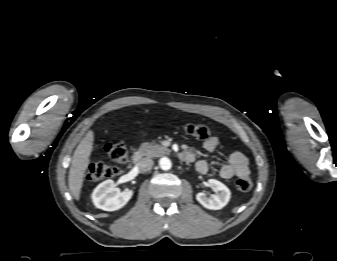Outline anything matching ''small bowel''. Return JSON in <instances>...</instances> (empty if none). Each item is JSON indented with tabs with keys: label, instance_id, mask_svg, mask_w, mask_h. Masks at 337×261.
Instances as JSON below:
<instances>
[{
	"label": "small bowel",
	"instance_id": "c3829d8e",
	"mask_svg": "<svg viewBox=\"0 0 337 261\" xmlns=\"http://www.w3.org/2000/svg\"><path fill=\"white\" fill-rule=\"evenodd\" d=\"M218 145V138L213 136L206 140L203 147L206 151L212 152ZM184 153L189 155L188 162L195 160V154L191 150H186ZM196 170L200 174H207L210 171V166L207 161L199 160L196 162ZM250 173L249 162L247 157L241 152H233L229 155L228 161L220 166L218 174L223 179L232 177H247Z\"/></svg>",
	"mask_w": 337,
	"mask_h": 261
}]
</instances>
